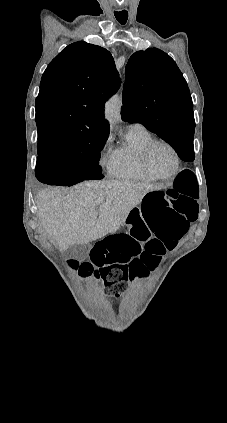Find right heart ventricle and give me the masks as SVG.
Segmentation results:
<instances>
[{
	"mask_svg": "<svg viewBox=\"0 0 227 423\" xmlns=\"http://www.w3.org/2000/svg\"><path fill=\"white\" fill-rule=\"evenodd\" d=\"M151 139V134L142 126L128 127L125 143L112 153L110 175L122 180L152 181L143 171L139 161L140 149Z\"/></svg>",
	"mask_w": 227,
	"mask_h": 423,
	"instance_id": "e07e8e85",
	"label": "right heart ventricle"
}]
</instances>
